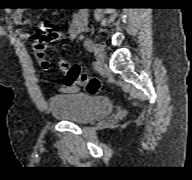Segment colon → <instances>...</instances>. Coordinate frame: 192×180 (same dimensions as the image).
Segmentation results:
<instances>
[{"mask_svg": "<svg viewBox=\"0 0 192 180\" xmlns=\"http://www.w3.org/2000/svg\"><path fill=\"white\" fill-rule=\"evenodd\" d=\"M58 38L59 34L56 31L42 32L34 37L32 45L33 51L36 57L40 60V65L43 69L49 68V62L45 59L48 44ZM61 68L64 74V83L66 85L81 86L90 95H96L101 91V82L97 78L86 74L79 65L62 62Z\"/></svg>", "mask_w": 192, "mask_h": 180, "instance_id": "1", "label": "colon"}]
</instances>
